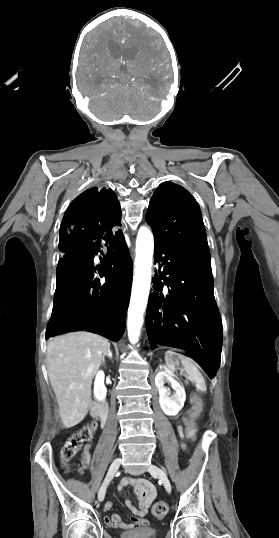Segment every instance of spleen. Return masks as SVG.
Instances as JSON below:
<instances>
[{"mask_svg":"<svg viewBox=\"0 0 279 538\" xmlns=\"http://www.w3.org/2000/svg\"><path fill=\"white\" fill-rule=\"evenodd\" d=\"M173 356H178L179 360H181V364L184 366L187 374H189L190 379L192 381H197V383H195V386H198V388H196V393H205L204 380L201 378L200 372L197 370L196 366L192 364L193 360H191V358H186V356H181V354H176L173 350H168L165 354V362L167 368H170V370H175V362H172L171 360Z\"/></svg>","mask_w":279,"mask_h":538,"instance_id":"spleen-1","label":"spleen"}]
</instances>
